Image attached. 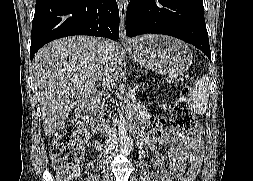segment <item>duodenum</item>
<instances>
[{"mask_svg":"<svg viewBox=\"0 0 253 181\" xmlns=\"http://www.w3.org/2000/svg\"><path fill=\"white\" fill-rule=\"evenodd\" d=\"M98 97L91 95L87 97L79 106L78 114L89 124L94 133L104 132L105 125L99 117L96 109Z\"/></svg>","mask_w":253,"mask_h":181,"instance_id":"obj_1","label":"duodenum"}]
</instances>
